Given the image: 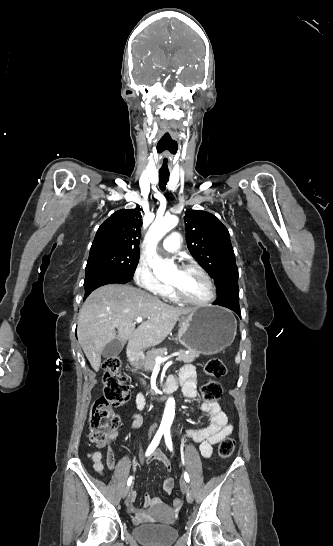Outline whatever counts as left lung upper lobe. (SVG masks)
Returning <instances> with one entry per match:
<instances>
[{"mask_svg": "<svg viewBox=\"0 0 333 546\" xmlns=\"http://www.w3.org/2000/svg\"><path fill=\"white\" fill-rule=\"evenodd\" d=\"M187 246L194 259L213 278L218 299L238 288V268L227 228L211 213H185Z\"/></svg>", "mask_w": 333, "mask_h": 546, "instance_id": "obj_1", "label": "left lung upper lobe"}]
</instances>
